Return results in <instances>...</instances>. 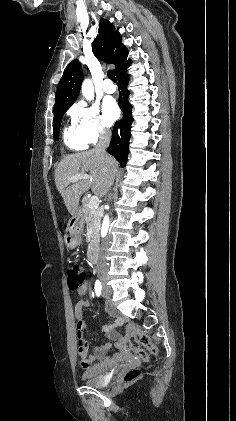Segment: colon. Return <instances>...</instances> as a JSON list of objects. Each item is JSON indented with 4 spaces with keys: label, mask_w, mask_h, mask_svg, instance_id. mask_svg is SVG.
<instances>
[{
    "label": "colon",
    "mask_w": 236,
    "mask_h": 421,
    "mask_svg": "<svg viewBox=\"0 0 236 421\" xmlns=\"http://www.w3.org/2000/svg\"><path fill=\"white\" fill-rule=\"evenodd\" d=\"M88 272L81 265L74 264L68 270V285L69 288L75 292L79 291L84 287L86 283ZM79 352L84 350L82 340H79ZM130 348L137 354V356L147 361L150 355H157L158 349L151 342L150 337L140 329H135L129 338ZM140 375L138 369H131L127 371L123 377L124 383H131L137 379Z\"/></svg>",
    "instance_id": "obj_1"
}]
</instances>
